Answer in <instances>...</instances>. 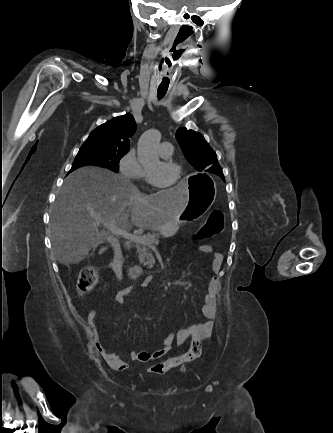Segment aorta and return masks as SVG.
I'll return each instance as SVG.
<instances>
[{"mask_svg":"<svg viewBox=\"0 0 333 433\" xmlns=\"http://www.w3.org/2000/svg\"><path fill=\"white\" fill-rule=\"evenodd\" d=\"M161 140V133L156 129L145 131L138 141V160L144 167L157 166L160 160L157 146Z\"/></svg>","mask_w":333,"mask_h":433,"instance_id":"aorta-1","label":"aorta"}]
</instances>
